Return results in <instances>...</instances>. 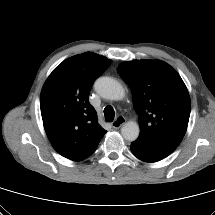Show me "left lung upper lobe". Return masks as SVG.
Wrapping results in <instances>:
<instances>
[{"label":"left lung upper lobe","instance_id":"obj_1","mask_svg":"<svg viewBox=\"0 0 215 215\" xmlns=\"http://www.w3.org/2000/svg\"><path fill=\"white\" fill-rule=\"evenodd\" d=\"M133 95L140 134L136 142L171 154L183 139L190 98L180 75L160 60L123 62L117 69Z\"/></svg>","mask_w":215,"mask_h":215}]
</instances>
